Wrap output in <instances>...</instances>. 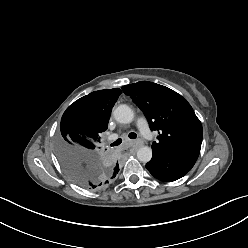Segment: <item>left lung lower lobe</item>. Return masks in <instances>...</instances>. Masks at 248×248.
<instances>
[{"label": "left lung lower lobe", "mask_w": 248, "mask_h": 248, "mask_svg": "<svg viewBox=\"0 0 248 248\" xmlns=\"http://www.w3.org/2000/svg\"><path fill=\"white\" fill-rule=\"evenodd\" d=\"M199 152H178L160 154L153 152L152 159L146 164L147 170L153 177L172 182L186 175L194 166Z\"/></svg>", "instance_id": "0a47b994"}]
</instances>
